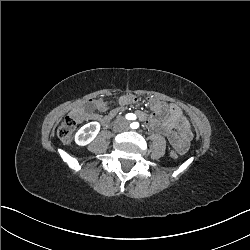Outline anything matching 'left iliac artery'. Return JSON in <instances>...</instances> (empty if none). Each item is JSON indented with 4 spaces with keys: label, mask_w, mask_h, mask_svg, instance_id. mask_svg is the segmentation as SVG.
I'll return each mask as SVG.
<instances>
[{
    "label": "left iliac artery",
    "mask_w": 250,
    "mask_h": 250,
    "mask_svg": "<svg viewBox=\"0 0 250 250\" xmlns=\"http://www.w3.org/2000/svg\"><path fill=\"white\" fill-rule=\"evenodd\" d=\"M130 127H131L132 129H137V128L139 127V124H138L137 122H133V123L130 125Z\"/></svg>",
    "instance_id": "1"
}]
</instances>
